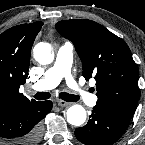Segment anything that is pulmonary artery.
<instances>
[{
    "mask_svg": "<svg viewBox=\"0 0 145 145\" xmlns=\"http://www.w3.org/2000/svg\"><path fill=\"white\" fill-rule=\"evenodd\" d=\"M73 60V45L70 42L64 43L58 50L55 63L50 67L39 80L32 86L33 89L45 91L56 87L62 79H65L69 91L78 96L84 103L93 106L97 97L80 86L71 75V65Z\"/></svg>",
    "mask_w": 145,
    "mask_h": 145,
    "instance_id": "1",
    "label": "pulmonary artery"
}]
</instances>
